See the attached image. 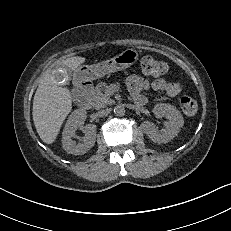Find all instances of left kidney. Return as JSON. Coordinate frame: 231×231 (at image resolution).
Wrapping results in <instances>:
<instances>
[{"mask_svg":"<svg viewBox=\"0 0 231 231\" xmlns=\"http://www.w3.org/2000/svg\"><path fill=\"white\" fill-rule=\"evenodd\" d=\"M153 112L158 118L165 116L168 119L166 128L157 131L152 123L146 121L141 125L143 132L155 143H167L178 135L184 124L183 116L174 106L164 103L156 104Z\"/></svg>","mask_w":231,"mask_h":231,"instance_id":"5707ae66","label":"left kidney"}]
</instances>
